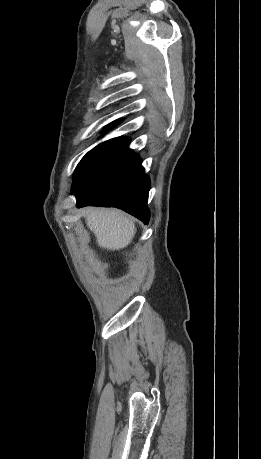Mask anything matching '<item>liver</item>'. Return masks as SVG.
Instances as JSON below:
<instances>
[{
	"label": "liver",
	"instance_id": "1",
	"mask_svg": "<svg viewBox=\"0 0 261 459\" xmlns=\"http://www.w3.org/2000/svg\"><path fill=\"white\" fill-rule=\"evenodd\" d=\"M86 224L98 246L107 250L127 247L136 233L133 219L117 210H92L86 216Z\"/></svg>",
	"mask_w": 261,
	"mask_h": 459
}]
</instances>
